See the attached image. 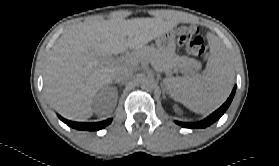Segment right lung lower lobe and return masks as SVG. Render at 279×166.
<instances>
[{"mask_svg":"<svg viewBox=\"0 0 279 166\" xmlns=\"http://www.w3.org/2000/svg\"><path fill=\"white\" fill-rule=\"evenodd\" d=\"M59 118L64 123H66L67 125L75 128V129L89 130V131L100 130L111 123V119H108V120H105L102 122H96V123H83V122H72V121L62 118L61 116H59Z\"/></svg>","mask_w":279,"mask_h":166,"instance_id":"obj_1","label":"right lung lower lobe"}]
</instances>
